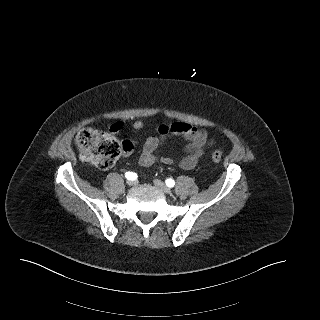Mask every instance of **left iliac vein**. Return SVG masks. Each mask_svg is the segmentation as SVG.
Segmentation results:
<instances>
[{"mask_svg": "<svg viewBox=\"0 0 320 320\" xmlns=\"http://www.w3.org/2000/svg\"><path fill=\"white\" fill-rule=\"evenodd\" d=\"M153 182H154V185L156 187H158L159 189H161L163 192L171 193V189L169 187H167L163 181H161L159 179H155Z\"/></svg>", "mask_w": 320, "mask_h": 320, "instance_id": "left-iliac-vein-1", "label": "left iliac vein"}]
</instances>
